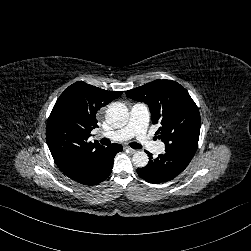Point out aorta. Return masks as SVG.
<instances>
[{"label":"aorta","instance_id":"1","mask_svg":"<svg viewBox=\"0 0 251 251\" xmlns=\"http://www.w3.org/2000/svg\"><path fill=\"white\" fill-rule=\"evenodd\" d=\"M106 122L114 128H123L129 121V111L127 107L116 102L111 104L105 114ZM149 162V157L145 152H135L133 154V163L138 168L146 167Z\"/></svg>","mask_w":251,"mask_h":251}]
</instances>
